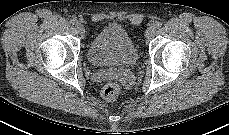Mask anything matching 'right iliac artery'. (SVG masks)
Returning <instances> with one entry per match:
<instances>
[{"instance_id": "obj_1", "label": "right iliac artery", "mask_w": 229, "mask_h": 135, "mask_svg": "<svg viewBox=\"0 0 229 135\" xmlns=\"http://www.w3.org/2000/svg\"><path fill=\"white\" fill-rule=\"evenodd\" d=\"M70 23L72 25H77L78 24V21H77V19L73 18V19H71Z\"/></svg>"}]
</instances>
